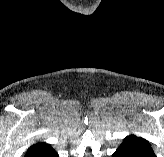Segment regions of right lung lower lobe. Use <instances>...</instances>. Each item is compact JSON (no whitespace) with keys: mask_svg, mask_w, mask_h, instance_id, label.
<instances>
[{"mask_svg":"<svg viewBox=\"0 0 164 157\" xmlns=\"http://www.w3.org/2000/svg\"><path fill=\"white\" fill-rule=\"evenodd\" d=\"M24 157H59L57 152L46 143H36L31 146Z\"/></svg>","mask_w":164,"mask_h":157,"instance_id":"98d812e1","label":"right lung lower lobe"}]
</instances>
